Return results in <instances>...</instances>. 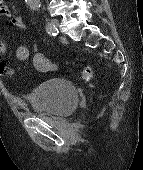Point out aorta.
Segmentation results:
<instances>
[{"instance_id":"obj_1","label":"aorta","mask_w":143,"mask_h":170,"mask_svg":"<svg viewBox=\"0 0 143 170\" xmlns=\"http://www.w3.org/2000/svg\"><path fill=\"white\" fill-rule=\"evenodd\" d=\"M26 3L33 10L40 8V0H26Z\"/></svg>"}]
</instances>
